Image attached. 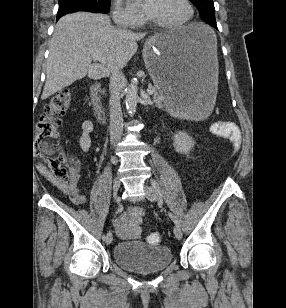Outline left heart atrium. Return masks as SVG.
I'll use <instances>...</instances> for the list:
<instances>
[{"label":"left heart atrium","mask_w":286,"mask_h":308,"mask_svg":"<svg viewBox=\"0 0 286 308\" xmlns=\"http://www.w3.org/2000/svg\"><path fill=\"white\" fill-rule=\"evenodd\" d=\"M157 0H130L131 8L142 14L151 17L154 12Z\"/></svg>","instance_id":"39dd6f15"}]
</instances>
